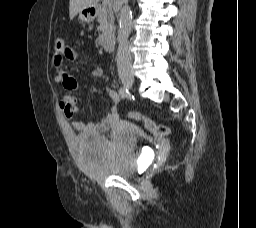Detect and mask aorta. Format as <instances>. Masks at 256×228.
Wrapping results in <instances>:
<instances>
[{"label": "aorta", "instance_id": "aorta-1", "mask_svg": "<svg viewBox=\"0 0 256 228\" xmlns=\"http://www.w3.org/2000/svg\"><path fill=\"white\" fill-rule=\"evenodd\" d=\"M120 29L118 33L119 40H127L131 31V8L126 4L120 13Z\"/></svg>", "mask_w": 256, "mask_h": 228}]
</instances>
